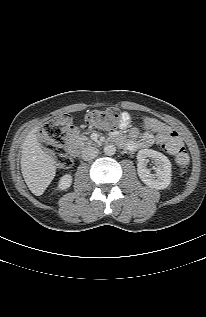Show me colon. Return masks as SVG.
I'll return each mask as SVG.
<instances>
[{
	"label": "colon",
	"mask_w": 206,
	"mask_h": 317,
	"mask_svg": "<svg viewBox=\"0 0 206 317\" xmlns=\"http://www.w3.org/2000/svg\"><path fill=\"white\" fill-rule=\"evenodd\" d=\"M122 113L117 108L93 110L86 115V122L92 127L101 129H115L120 126ZM72 128L69 115H62L45 127L39 133L42 145L55 156L56 164L60 169H68L72 165V158L68 154L65 144ZM162 148L175 157L182 172L185 171L189 158L184 144L174 131L166 135L160 142Z\"/></svg>",
	"instance_id": "colon-1"
}]
</instances>
